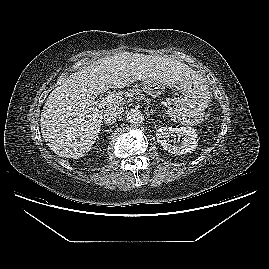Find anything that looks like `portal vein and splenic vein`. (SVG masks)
I'll use <instances>...</instances> for the list:
<instances>
[{
  "label": "portal vein and splenic vein",
  "instance_id": "18ae733b",
  "mask_svg": "<svg viewBox=\"0 0 269 269\" xmlns=\"http://www.w3.org/2000/svg\"><path fill=\"white\" fill-rule=\"evenodd\" d=\"M123 100H124L123 96L119 95L118 93L116 94L113 93L111 95L102 98L101 101L98 103V107H96L95 110H98V108H103L106 105H110L114 102H121Z\"/></svg>",
  "mask_w": 269,
  "mask_h": 269
}]
</instances>
